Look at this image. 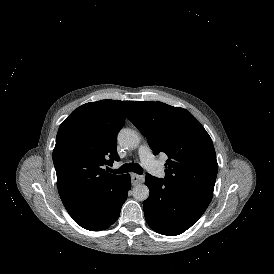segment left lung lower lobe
Listing matches in <instances>:
<instances>
[{
	"label": "left lung lower lobe",
	"instance_id": "1",
	"mask_svg": "<svg viewBox=\"0 0 274 274\" xmlns=\"http://www.w3.org/2000/svg\"><path fill=\"white\" fill-rule=\"evenodd\" d=\"M149 197L143 202L148 225L156 232L174 236L190 228L204 213L212 196L146 175Z\"/></svg>",
	"mask_w": 274,
	"mask_h": 274
}]
</instances>
